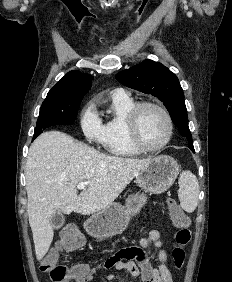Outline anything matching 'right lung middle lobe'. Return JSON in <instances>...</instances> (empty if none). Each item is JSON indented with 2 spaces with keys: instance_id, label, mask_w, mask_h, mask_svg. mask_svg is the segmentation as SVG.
<instances>
[{
  "instance_id": "right-lung-middle-lobe-1",
  "label": "right lung middle lobe",
  "mask_w": 232,
  "mask_h": 282,
  "mask_svg": "<svg viewBox=\"0 0 232 282\" xmlns=\"http://www.w3.org/2000/svg\"><path fill=\"white\" fill-rule=\"evenodd\" d=\"M83 96L45 99L40 108L33 139L53 125L73 124Z\"/></svg>"
}]
</instances>
